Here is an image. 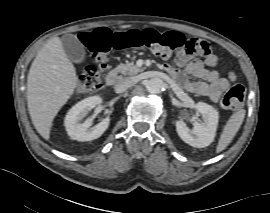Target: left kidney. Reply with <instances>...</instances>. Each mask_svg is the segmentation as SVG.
Returning a JSON list of instances; mask_svg holds the SVG:
<instances>
[{
  "instance_id": "5707ae66",
  "label": "left kidney",
  "mask_w": 270,
  "mask_h": 213,
  "mask_svg": "<svg viewBox=\"0 0 270 213\" xmlns=\"http://www.w3.org/2000/svg\"><path fill=\"white\" fill-rule=\"evenodd\" d=\"M196 109L202 115L203 122L194 121V127L190 130L184 121L178 120L176 121V131L185 143L192 147L204 148L214 140L219 114L211 105L204 102H198Z\"/></svg>"
}]
</instances>
